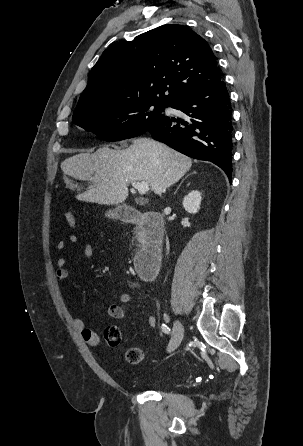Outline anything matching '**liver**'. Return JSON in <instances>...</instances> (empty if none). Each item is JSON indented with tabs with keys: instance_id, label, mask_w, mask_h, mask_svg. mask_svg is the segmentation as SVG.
Returning <instances> with one entry per match:
<instances>
[{
	"instance_id": "6515ba94",
	"label": "liver",
	"mask_w": 303,
	"mask_h": 446,
	"mask_svg": "<svg viewBox=\"0 0 303 446\" xmlns=\"http://www.w3.org/2000/svg\"><path fill=\"white\" fill-rule=\"evenodd\" d=\"M192 160L150 138H137L123 150L106 146L95 153H80L61 163L65 175L88 181L87 189L76 198L101 205H117L128 197V184L147 182L156 195L178 182L190 169ZM71 190L79 185L65 179Z\"/></svg>"
}]
</instances>
